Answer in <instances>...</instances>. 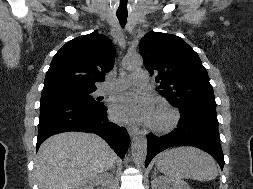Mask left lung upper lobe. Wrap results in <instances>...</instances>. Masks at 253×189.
<instances>
[{
  "label": "left lung upper lobe",
  "mask_w": 253,
  "mask_h": 189,
  "mask_svg": "<svg viewBox=\"0 0 253 189\" xmlns=\"http://www.w3.org/2000/svg\"><path fill=\"white\" fill-rule=\"evenodd\" d=\"M139 51L149 73L156 75L159 93L181 113L217 117L213 88L198 54L180 37L149 32Z\"/></svg>",
  "instance_id": "left-lung-upper-lobe-1"
}]
</instances>
